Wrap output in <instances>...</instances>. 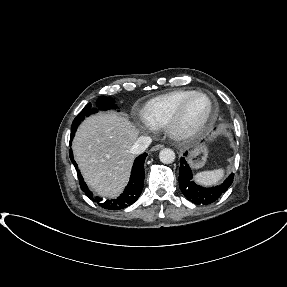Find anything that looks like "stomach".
I'll return each mask as SVG.
<instances>
[{"instance_id": "stomach-1", "label": "stomach", "mask_w": 287, "mask_h": 287, "mask_svg": "<svg viewBox=\"0 0 287 287\" xmlns=\"http://www.w3.org/2000/svg\"><path fill=\"white\" fill-rule=\"evenodd\" d=\"M208 153L207 146H196L189 153L188 163L194 169L200 168L206 163Z\"/></svg>"}]
</instances>
